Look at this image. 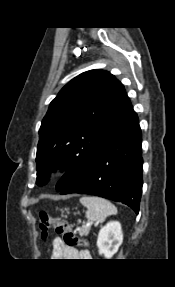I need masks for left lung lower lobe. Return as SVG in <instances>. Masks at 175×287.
<instances>
[{"mask_svg":"<svg viewBox=\"0 0 175 287\" xmlns=\"http://www.w3.org/2000/svg\"><path fill=\"white\" fill-rule=\"evenodd\" d=\"M141 129L136 113L97 150L86 171L60 191L122 202L139 212L142 193Z\"/></svg>","mask_w":175,"mask_h":287,"instance_id":"left-lung-lower-lobe-1","label":"left lung lower lobe"}]
</instances>
